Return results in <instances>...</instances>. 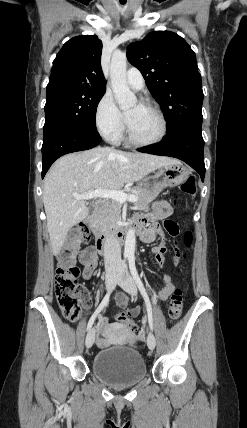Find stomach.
<instances>
[{"mask_svg":"<svg viewBox=\"0 0 247 428\" xmlns=\"http://www.w3.org/2000/svg\"><path fill=\"white\" fill-rule=\"evenodd\" d=\"M190 170L181 162L164 165L157 169L154 175L142 181L141 186L149 189L175 187L187 180Z\"/></svg>","mask_w":247,"mask_h":428,"instance_id":"0dacf381","label":"stomach"}]
</instances>
